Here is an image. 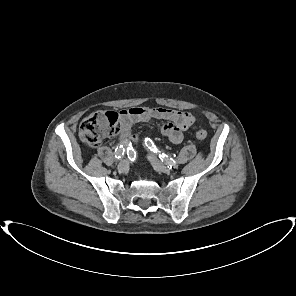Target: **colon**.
I'll use <instances>...</instances> for the list:
<instances>
[{
  "label": "colon",
  "instance_id": "5ec220e1",
  "mask_svg": "<svg viewBox=\"0 0 296 296\" xmlns=\"http://www.w3.org/2000/svg\"><path fill=\"white\" fill-rule=\"evenodd\" d=\"M120 129V114L116 111L100 110L86 117L79 128L80 139L91 147H97L105 136L116 134ZM196 137L204 140L207 132L200 129Z\"/></svg>",
  "mask_w": 296,
  "mask_h": 296
}]
</instances>
